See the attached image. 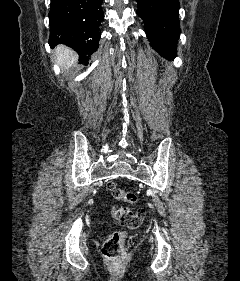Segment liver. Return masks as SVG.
<instances>
[{
  "label": "liver",
  "mask_w": 240,
  "mask_h": 281,
  "mask_svg": "<svg viewBox=\"0 0 240 281\" xmlns=\"http://www.w3.org/2000/svg\"><path fill=\"white\" fill-rule=\"evenodd\" d=\"M56 62L63 69H69L77 62V54L70 48L60 45L55 49Z\"/></svg>",
  "instance_id": "6515ba94"
}]
</instances>
